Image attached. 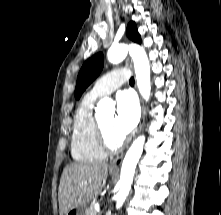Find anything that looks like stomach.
I'll use <instances>...</instances> for the list:
<instances>
[{"label":"stomach","mask_w":221,"mask_h":215,"mask_svg":"<svg viewBox=\"0 0 221 215\" xmlns=\"http://www.w3.org/2000/svg\"><path fill=\"white\" fill-rule=\"evenodd\" d=\"M111 173H114L113 171H111ZM87 212V206L83 205V206H78L74 209L69 210L65 215H86Z\"/></svg>","instance_id":"0dacf381"}]
</instances>
